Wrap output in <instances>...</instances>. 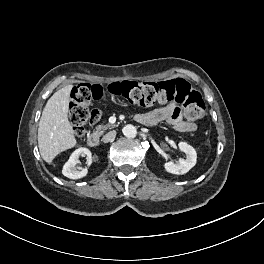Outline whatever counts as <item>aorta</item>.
I'll return each instance as SVG.
<instances>
[{
	"instance_id": "1",
	"label": "aorta",
	"mask_w": 264,
	"mask_h": 264,
	"mask_svg": "<svg viewBox=\"0 0 264 264\" xmlns=\"http://www.w3.org/2000/svg\"><path fill=\"white\" fill-rule=\"evenodd\" d=\"M122 132L127 138H134L137 135V129L133 125H126L123 127Z\"/></svg>"
}]
</instances>
